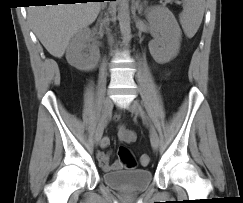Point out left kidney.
<instances>
[{
  "mask_svg": "<svg viewBox=\"0 0 243 203\" xmlns=\"http://www.w3.org/2000/svg\"><path fill=\"white\" fill-rule=\"evenodd\" d=\"M153 40L149 50L154 60L164 64L174 59L180 49L181 29L174 15L164 7H154L147 13Z\"/></svg>",
  "mask_w": 243,
  "mask_h": 203,
  "instance_id": "5707ae66",
  "label": "left kidney"
}]
</instances>
